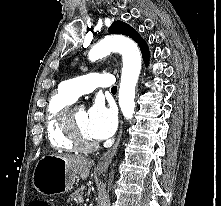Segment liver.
Segmentation results:
<instances>
[{"label": "liver", "mask_w": 221, "mask_h": 206, "mask_svg": "<svg viewBox=\"0 0 221 206\" xmlns=\"http://www.w3.org/2000/svg\"><path fill=\"white\" fill-rule=\"evenodd\" d=\"M63 158L69 168L82 179H86L89 176L90 169L94 165V161L85 157L70 156V155H56Z\"/></svg>", "instance_id": "1"}]
</instances>
